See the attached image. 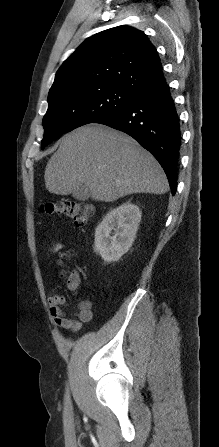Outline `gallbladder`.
<instances>
[{
  "instance_id": "bac80fb5",
  "label": "gallbladder",
  "mask_w": 219,
  "mask_h": 447,
  "mask_svg": "<svg viewBox=\"0 0 219 447\" xmlns=\"http://www.w3.org/2000/svg\"><path fill=\"white\" fill-rule=\"evenodd\" d=\"M72 196L79 200V201H85L88 200L90 197L89 191L87 190L86 186L84 184L80 185L78 189H75L72 192Z\"/></svg>"
}]
</instances>
